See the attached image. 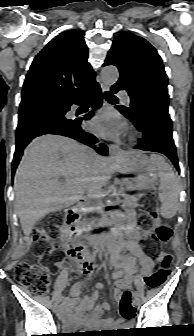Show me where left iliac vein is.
Listing matches in <instances>:
<instances>
[{
  "mask_svg": "<svg viewBox=\"0 0 194 336\" xmlns=\"http://www.w3.org/2000/svg\"><path fill=\"white\" fill-rule=\"evenodd\" d=\"M135 295H136V294H135ZM134 303H135V305H137V306L140 304V300H139L138 297H135Z\"/></svg>",
  "mask_w": 194,
  "mask_h": 336,
  "instance_id": "1",
  "label": "left iliac vein"
}]
</instances>
